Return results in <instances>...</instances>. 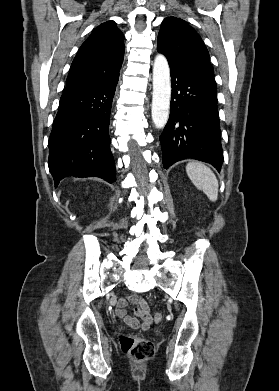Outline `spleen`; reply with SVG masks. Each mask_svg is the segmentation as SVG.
<instances>
[{
  "mask_svg": "<svg viewBox=\"0 0 279 391\" xmlns=\"http://www.w3.org/2000/svg\"><path fill=\"white\" fill-rule=\"evenodd\" d=\"M186 172L192 183L202 190L210 201L218 199V180L213 171L201 162H190Z\"/></svg>",
  "mask_w": 279,
  "mask_h": 391,
  "instance_id": "3e777b00",
  "label": "spleen"
}]
</instances>
